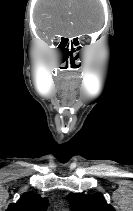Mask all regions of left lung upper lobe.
I'll return each instance as SVG.
<instances>
[{
  "mask_svg": "<svg viewBox=\"0 0 133 211\" xmlns=\"http://www.w3.org/2000/svg\"><path fill=\"white\" fill-rule=\"evenodd\" d=\"M68 200L73 211H115L107 204L101 193L85 195L81 193H70Z\"/></svg>",
  "mask_w": 133,
  "mask_h": 211,
  "instance_id": "5c2ea615",
  "label": "left lung upper lobe"
}]
</instances>
